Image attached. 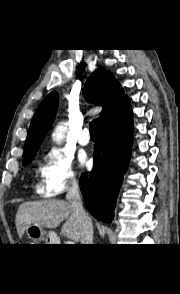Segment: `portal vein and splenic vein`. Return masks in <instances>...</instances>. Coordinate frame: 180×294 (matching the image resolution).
<instances>
[{"label":"portal vein and splenic vein","mask_w":180,"mask_h":294,"mask_svg":"<svg viewBox=\"0 0 180 294\" xmlns=\"http://www.w3.org/2000/svg\"><path fill=\"white\" fill-rule=\"evenodd\" d=\"M67 244H74L72 241H68Z\"/></svg>","instance_id":"portal-vein-and-splenic-vein-1"}]
</instances>
